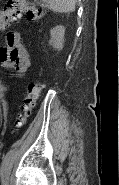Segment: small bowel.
<instances>
[{
  "instance_id": "c3829d8e",
  "label": "small bowel",
  "mask_w": 119,
  "mask_h": 185,
  "mask_svg": "<svg viewBox=\"0 0 119 185\" xmlns=\"http://www.w3.org/2000/svg\"><path fill=\"white\" fill-rule=\"evenodd\" d=\"M20 39L18 32L7 33L6 46L0 49V63L8 69L24 72L30 67L31 62Z\"/></svg>"
}]
</instances>
